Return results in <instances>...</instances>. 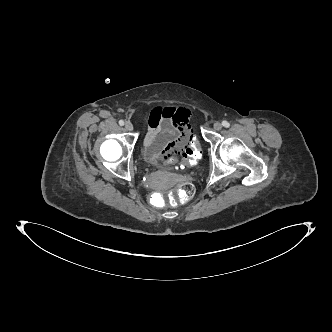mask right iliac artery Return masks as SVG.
Returning <instances> with one entry per match:
<instances>
[{
	"label": "right iliac artery",
	"mask_w": 332,
	"mask_h": 332,
	"mask_svg": "<svg viewBox=\"0 0 332 332\" xmlns=\"http://www.w3.org/2000/svg\"><path fill=\"white\" fill-rule=\"evenodd\" d=\"M119 125H120V126H123V125H124V121H123V120H120V121H119Z\"/></svg>",
	"instance_id": "82829eb1"
}]
</instances>
